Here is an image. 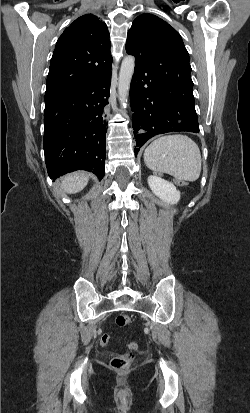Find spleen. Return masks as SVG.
<instances>
[{
	"instance_id": "obj_1",
	"label": "spleen",
	"mask_w": 250,
	"mask_h": 413,
	"mask_svg": "<svg viewBox=\"0 0 250 413\" xmlns=\"http://www.w3.org/2000/svg\"><path fill=\"white\" fill-rule=\"evenodd\" d=\"M146 166L158 173H167L179 181H196L201 173V153L198 145L181 134L162 136L144 152Z\"/></svg>"
}]
</instances>
